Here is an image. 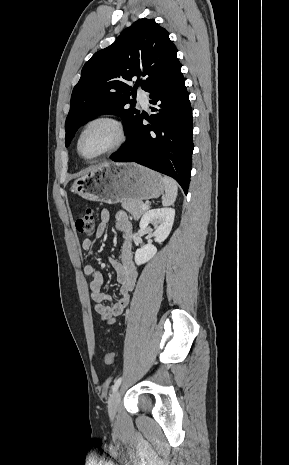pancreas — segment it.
I'll return each mask as SVG.
<instances>
[{"label":"pancreas","instance_id":"obj_1","mask_svg":"<svg viewBox=\"0 0 289 465\" xmlns=\"http://www.w3.org/2000/svg\"><path fill=\"white\" fill-rule=\"evenodd\" d=\"M142 201L126 200L122 202V208L132 214L135 220H138L144 213Z\"/></svg>","mask_w":289,"mask_h":465}]
</instances>
